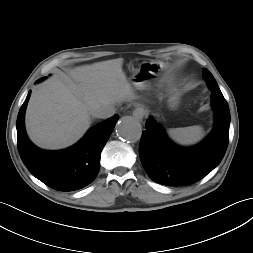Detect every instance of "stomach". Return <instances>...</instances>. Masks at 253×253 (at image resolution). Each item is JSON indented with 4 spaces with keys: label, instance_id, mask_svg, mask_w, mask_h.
<instances>
[{
    "label": "stomach",
    "instance_id": "1",
    "mask_svg": "<svg viewBox=\"0 0 253 253\" xmlns=\"http://www.w3.org/2000/svg\"><path fill=\"white\" fill-rule=\"evenodd\" d=\"M164 64L160 62H143L139 69L136 70L132 76V83L138 89H144L147 84L156 77L161 70H163ZM179 94L174 92L170 98V104L172 107H175L178 103Z\"/></svg>",
    "mask_w": 253,
    "mask_h": 253
}]
</instances>
